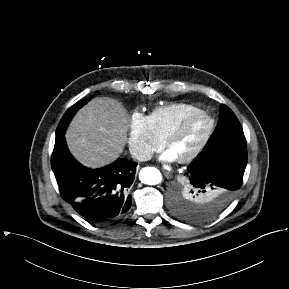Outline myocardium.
Wrapping results in <instances>:
<instances>
[{"instance_id": "myocardium-1", "label": "myocardium", "mask_w": 289, "mask_h": 289, "mask_svg": "<svg viewBox=\"0 0 289 289\" xmlns=\"http://www.w3.org/2000/svg\"><path fill=\"white\" fill-rule=\"evenodd\" d=\"M198 117H204L208 121V127L200 140L183 156L177 158L180 163H187L194 160L209 142L215 128V120L211 114L204 110L195 111L184 117L179 124L165 137L164 145L169 148L170 145L183 136L189 124Z\"/></svg>"}]
</instances>
